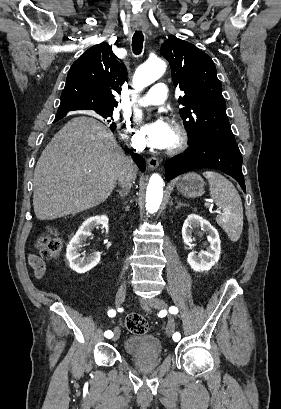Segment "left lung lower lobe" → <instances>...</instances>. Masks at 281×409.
<instances>
[{"label": "left lung lower lobe", "mask_w": 281, "mask_h": 409, "mask_svg": "<svg viewBox=\"0 0 281 409\" xmlns=\"http://www.w3.org/2000/svg\"><path fill=\"white\" fill-rule=\"evenodd\" d=\"M242 156L236 142L202 138L190 142V148L165 164V177L172 179L188 170L213 168L232 176L245 191Z\"/></svg>", "instance_id": "obj_1"}]
</instances>
